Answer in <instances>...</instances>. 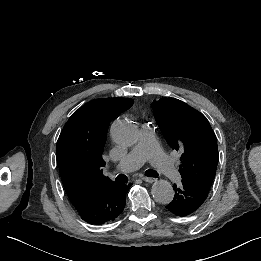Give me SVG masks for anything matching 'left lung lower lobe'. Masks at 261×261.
<instances>
[{"label": "left lung lower lobe", "mask_w": 261, "mask_h": 261, "mask_svg": "<svg viewBox=\"0 0 261 261\" xmlns=\"http://www.w3.org/2000/svg\"><path fill=\"white\" fill-rule=\"evenodd\" d=\"M175 196L166 208L176 216H187L196 211L205 201L208 191L204 187L189 180H182L180 187L173 185Z\"/></svg>", "instance_id": "left-lung-lower-lobe-1"}]
</instances>
